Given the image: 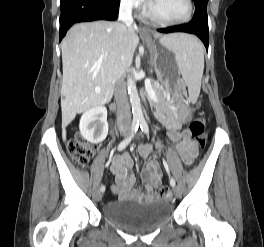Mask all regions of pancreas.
<instances>
[{
  "label": "pancreas",
  "instance_id": "1",
  "mask_svg": "<svg viewBox=\"0 0 264 247\" xmlns=\"http://www.w3.org/2000/svg\"><path fill=\"white\" fill-rule=\"evenodd\" d=\"M153 88L154 90L156 91L157 95L159 96V98L163 99L164 96H163V87L161 85H157V83H153Z\"/></svg>",
  "mask_w": 264,
  "mask_h": 247
}]
</instances>
